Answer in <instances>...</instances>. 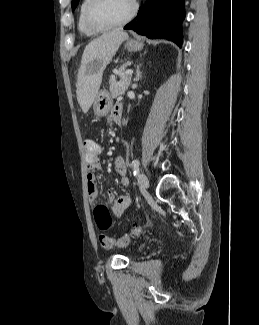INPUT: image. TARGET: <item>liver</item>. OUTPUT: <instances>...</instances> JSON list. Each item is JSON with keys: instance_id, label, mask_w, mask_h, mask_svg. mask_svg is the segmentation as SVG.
Segmentation results:
<instances>
[{"instance_id": "1", "label": "liver", "mask_w": 259, "mask_h": 325, "mask_svg": "<svg viewBox=\"0 0 259 325\" xmlns=\"http://www.w3.org/2000/svg\"><path fill=\"white\" fill-rule=\"evenodd\" d=\"M128 39L122 30H114L92 40L84 49L77 74V101L87 113L99 91L103 71L119 46Z\"/></svg>"}]
</instances>
